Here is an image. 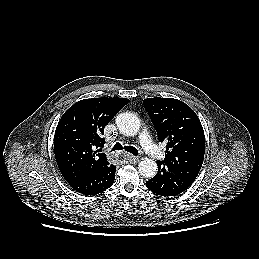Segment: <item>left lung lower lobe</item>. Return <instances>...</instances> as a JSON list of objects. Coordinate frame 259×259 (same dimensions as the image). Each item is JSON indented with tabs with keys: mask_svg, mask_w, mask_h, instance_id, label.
<instances>
[{
	"mask_svg": "<svg viewBox=\"0 0 259 259\" xmlns=\"http://www.w3.org/2000/svg\"><path fill=\"white\" fill-rule=\"evenodd\" d=\"M158 173L146 182V186L154 193L170 197L184 192L192 183L172 169L157 161Z\"/></svg>",
	"mask_w": 259,
	"mask_h": 259,
	"instance_id": "obj_1",
	"label": "left lung lower lobe"
}]
</instances>
